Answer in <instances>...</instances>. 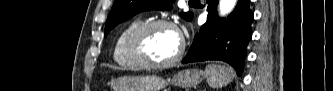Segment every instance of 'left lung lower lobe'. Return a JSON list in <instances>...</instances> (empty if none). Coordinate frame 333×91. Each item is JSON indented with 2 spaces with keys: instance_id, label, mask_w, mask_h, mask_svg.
<instances>
[{
  "instance_id": "left-lung-lower-lobe-1",
  "label": "left lung lower lobe",
  "mask_w": 333,
  "mask_h": 91,
  "mask_svg": "<svg viewBox=\"0 0 333 91\" xmlns=\"http://www.w3.org/2000/svg\"><path fill=\"white\" fill-rule=\"evenodd\" d=\"M249 2L250 0H239L229 17L220 19L216 16L217 0H206L207 22L196 34L182 63L222 60L241 75L247 44L252 37L251 24L254 15Z\"/></svg>"
}]
</instances>
